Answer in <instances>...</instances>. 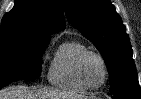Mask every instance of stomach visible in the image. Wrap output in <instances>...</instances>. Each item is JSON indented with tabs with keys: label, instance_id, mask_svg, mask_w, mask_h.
I'll list each match as a JSON object with an SVG mask.
<instances>
[{
	"label": "stomach",
	"instance_id": "1",
	"mask_svg": "<svg viewBox=\"0 0 141 99\" xmlns=\"http://www.w3.org/2000/svg\"><path fill=\"white\" fill-rule=\"evenodd\" d=\"M82 99H95V98H93V97H85V98H82Z\"/></svg>",
	"mask_w": 141,
	"mask_h": 99
}]
</instances>
